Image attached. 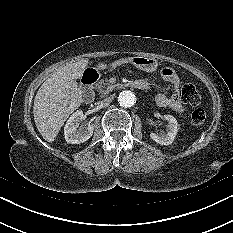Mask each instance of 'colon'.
Here are the masks:
<instances>
[{"label": "colon", "mask_w": 233, "mask_h": 233, "mask_svg": "<svg viewBox=\"0 0 233 233\" xmlns=\"http://www.w3.org/2000/svg\"><path fill=\"white\" fill-rule=\"evenodd\" d=\"M181 95L185 102L194 108L191 113L192 123L196 126L204 124L206 115L204 110L199 107L201 96L197 88L192 83H186L182 88Z\"/></svg>", "instance_id": "5ec220e1"}]
</instances>
